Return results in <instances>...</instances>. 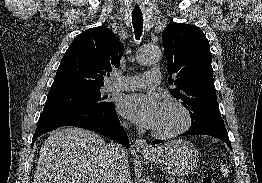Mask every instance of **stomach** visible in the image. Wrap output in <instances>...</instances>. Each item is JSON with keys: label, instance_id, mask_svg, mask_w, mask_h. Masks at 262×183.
Masks as SVG:
<instances>
[{"label": "stomach", "instance_id": "1", "mask_svg": "<svg viewBox=\"0 0 262 183\" xmlns=\"http://www.w3.org/2000/svg\"><path fill=\"white\" fill-rule=\"evenodd\" d=\"M142 155L176 176L192 173L199 162L197 149L184 140L169 141L151 152H142Z\"/></svg>", "mask_w": 262, "mask_h": 183}]
</instances>
